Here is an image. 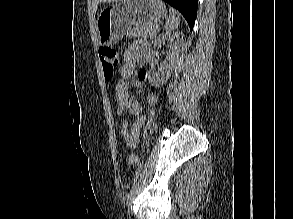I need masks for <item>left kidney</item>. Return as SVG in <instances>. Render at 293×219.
I'll use <instances>...</instances> for the list:
<instances>
[{"instance_id":"1","label":"left kidney","mask_w":293,"mask_h":219,"mask_svg":"<svg viewBox=\"0 0 293 219\" xmlns=\"http://www.w3.org/2000/svg\"><path fill=\"white\" fill-rule=\"evenodd\" d=\"M166 39L172 42L167 53L166 61L160 64L158 71L151 72L149 75V82L155 86H160L169 79L171 75L170 71L177 62L181 47L183 46V34L166 32L154 40V47L158 49Z\"/></svg>"}]
</instances>
